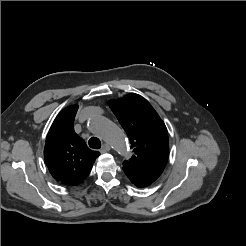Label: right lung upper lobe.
Wrapping results in <instances>:
<instances>
[{"label": "right lung upper lobe", "mask_w": 246, "mask_h": 246, "mask_svg": "<svg viewBox=\"0 0 246 246\" xmlns=\"http://www.w3.org/2000/svg\"><path fill=\"white\" fill-rule=\"evenodd\" d=\"M77 105L63 109L55 118L46 138L44 158L50 174L61 184L78 185L90 173L100 155L90 150L74 131Z\"/></svg>", "instance_id": "right-lung-upper-lobe-1"}]
</instances>
